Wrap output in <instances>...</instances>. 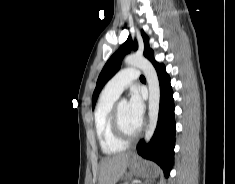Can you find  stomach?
I'll list each match as a JSON object with an SVG mask.
<instances>
[{
    "label": "stomach",
    "mask_w": 235,
    "mask_h": 184,
    "mask_svg": "<svg viewBox=\"0 0 235 184\" xmlns=\"http://www.w3.org/2000/svg\"><path fill=\"white\" fill-rule=\"evenodd\" d=\"M128 168L130 172H134V174L135 172H137L139 168V158L138 156H136V154H131ZM156 172L157 168H154V166H150V168H147L145 176H147V178H154V176H156Z\"/></svg>",
    "instance_id": "0dacf381"
}]
</instances>
